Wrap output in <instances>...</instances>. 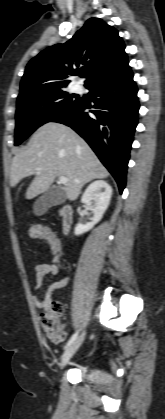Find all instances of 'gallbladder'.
Returning <instances> with one entry per match:
<instances>
[{"mask_svg":"<svg viewBox=\"0 0 165 419\" xmlns=\"http://www.w3.org/2000/svg\"><path fill=\"white\" fill-rule=\"evenodd\" d=\"M66 200L63 190L52 187L43 193L34 203L33 210L36 215L44 214L50 207L60 205Z\"/></svg>","mask_w":165,"mask_h":419,"instance_id":"bac80fb5","label":"gallbladder"}]
</instances>
